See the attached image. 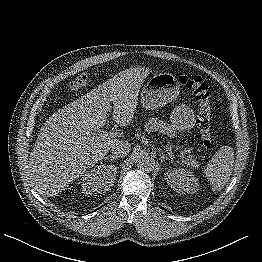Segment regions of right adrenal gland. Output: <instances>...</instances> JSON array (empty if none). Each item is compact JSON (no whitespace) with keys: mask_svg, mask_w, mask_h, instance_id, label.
Returning <instances> with one entry per match:
<instances>
[{"mask_svg":"<svg viewBox=\"0 0 262 262\" xmlns=\"http://www.w3.org/2000/svg\"><path fill=\"white\" fill-rule=\"evenodd\" d=\"M105 159H111V161H114L117 158L115 156H113V155H110V156L105 157Z\"/></svg>","mask_w":262,"mask_h":262,"instance_id":"1","label":"right adrenal gland"}]
</instances>
